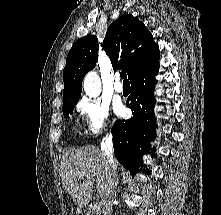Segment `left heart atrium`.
Masks as SVG:
<instances>
[{
  "label": "left heart atrium",
  "instance_id": "1",
  "mask_svg": "<svg viewBox=\"0 0 221 215\" xmlns=\"http://www.w3.org/2000/svg\"><path fill=\"white\" fill-rule=\"evenodd\" d=\"M116 111L119 115L123 114L124 112V107L122 104H118L117 107H116Z\"/></svg>",
  "mask_w": 221,
  "mask_h": 215
}]
</instances>
